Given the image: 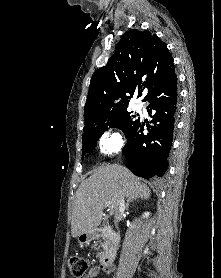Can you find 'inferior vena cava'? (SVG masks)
Returning a JSON list of instances; mask_svg holds the SVG:
<instances>
[{
  "label": "inferior vena cava",
  "mask_w": 221,
  "mask_h": 278,
  "mask_svg": "<svg viewBox=\"0 0 221 278\" xmlns=\"http://www.w3.org/2000/svg\"><path fill=\"white\" fill-rule=\"evenodd\" d=\"M125 209V203H124V196L120 197V200L115 208V215H114V223L116 227L118 226V222L120 221L121 213Z\"/></svg>",
  "instance_id": "602c4592"
}]
</instances>
